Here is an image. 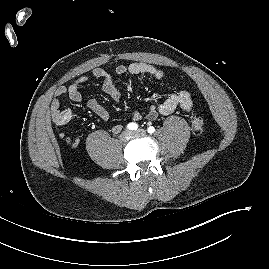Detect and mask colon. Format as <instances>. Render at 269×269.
I'll list each match as a JSON object with an SVG mask.
<instances>
[{
	"mask_svg": "<svg viewBox=\"0 0 269 269\" xmlns=\"http://www.w3.org/2000/svg\"><path fill=\"white\" fill-rule=\"evenodd\" d=\"M64 121L69 123V118L67 116L64 117ZM191 130L195 134H200L204 129V120L202 117L194 115L190 120Z\"/></svg>",
	"mask_w": 269,
	"mask_h": 269,
	"instance_id": "5ec220e1",
	"label": "colon"
}]
</instances>
